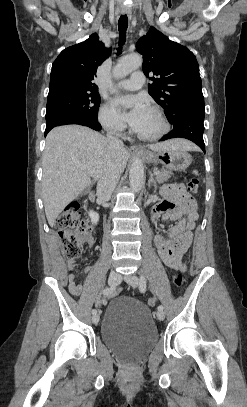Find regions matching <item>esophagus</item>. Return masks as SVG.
<instances>
[{
  "mask_svg": "<svg viewBox=\"0 0 247 407\" xmlns=\"http://www.w3.org/2000/svg\"><path fill=\"white\" fill-rule=\"evenodd\" d=\"M121 13L122 14H129L130 12H129V10L127 8H122ZM139 150H142V148L139 147V146L133 145V146L130 147V151H139Z\"/></svg>",
  "mask_w": 247,
  "mask_h": 407,
  "instance_id": "esophagus-1",
  "label": "esophagus"
}]
</instances>
